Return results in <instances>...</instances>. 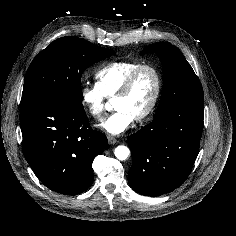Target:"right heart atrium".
I'll use <instances>...</instances> for the list:
<instances>
[{"mask_svg": "<svg viewBox=\"0 0 236 236\" xmlns=\"http://www.w3.org/2000/svg\"><path fill=\"white\" fill-rule=\"evenodd\" d=\"M82 105L87 112L97 120H102L105 115L107 99L96 84H85L80 89Z\"/></svg>", "mask_w": 236, "mask_h": 236, "instance_id": "right-heart-atrium-1", "label": "right heart atrium"}]
</instances>
